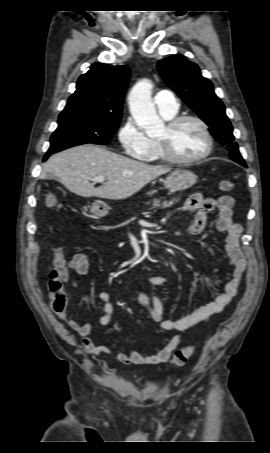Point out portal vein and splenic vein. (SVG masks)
I'll list each match as a JSON object with an SVG mask.
<instances>
[{"instance_id": "obj_1", "label": "portal vein and splenic vein", "mask_w": 270, "mask_h": 453, "mask_svg": "<svg viewBox=\"0 0 270 453\" xmlns=\"http://www.w3.org/2000/svg\"><path fill=\"white\" fill-rule=\"evenodd\" d=\"M92 181L95 182V183H102V182L105 181V178L103 176H98V177H94L92 179Z\"/></svg>"}]
</instances>
